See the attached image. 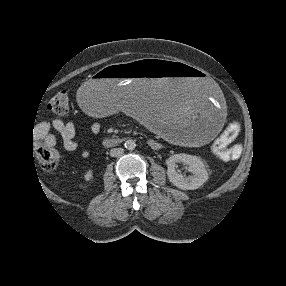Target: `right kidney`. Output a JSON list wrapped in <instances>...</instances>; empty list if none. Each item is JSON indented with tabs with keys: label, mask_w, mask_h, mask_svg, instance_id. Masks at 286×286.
Instances as JSON below:
<instances>
[{
	"label": "right kidney",
	"mask_w": 286,
	"mask_h": 286,
	"mask_svg": "<svg viewBox=\"0 0 286 286\" xmlns=\"http://www.w3.org/2000/svg\"><path fill=\"white\" fill-rule=\"evenodd\" d=\"M93 177V170L89 169L86 171L85 175H84V179L86 181H90Z\"/></svg>",
	"instance_id": "obj_1"
}]
</instances>
